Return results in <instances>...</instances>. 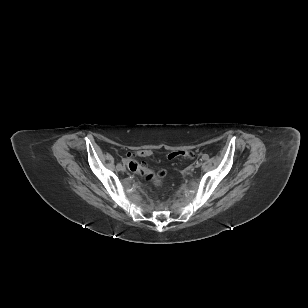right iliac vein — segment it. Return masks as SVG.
Instances as JSON below:
<instances>
[{"mask_svg":"<svg viewBox=\"0 0 308 308\" xmlns=\"http://www.w3.org/2000/svg\"><path fill=\"white\" fill-rule=\"evenodd\" d=\"M117 169H118L119 171H125V170H126L125 166H123V165H121V164H119V165L117 166Z\"/></svg>","mask_w":308,"mask_h":308,"instance_id":"1","label":"right iliac vein"}]
</instances>
